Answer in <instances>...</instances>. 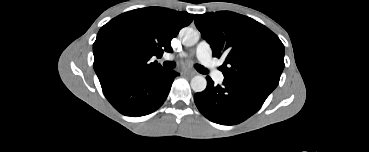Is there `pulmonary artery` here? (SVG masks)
Here are the masks:
<instances>
[{"mask_svg": "<svg viewBox=\"0 0 369 152\" xmlns=\"http://www.w3.org/2000/svg\"><path fill=\"white\" fill-rule=\"evenodd\" d=\"M196 57L198 58V60L200 61V63L205 66V68H207L213 79L217 82L220 83L223 81L224 76L223 74L216 68V65L212 59V51H211V47L209 45L208 42L206 41H201L195 48L194 51ZM189 54L187 53H181L179 54L177 57L179 58H186L188 57Z\"/></svg>", "mask_w": 369, "mask_h": 152, "instance_id": "e3ab8cb5", "label": "pulmonary artery"}]
</instances>
